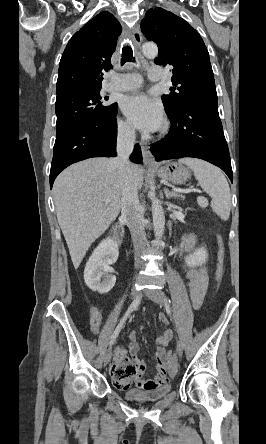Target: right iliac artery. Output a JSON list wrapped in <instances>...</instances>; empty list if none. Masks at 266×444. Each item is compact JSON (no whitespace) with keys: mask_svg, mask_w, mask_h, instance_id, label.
I'll use <instances>...</instances> for the list:
<instances>
[{"mask_svg":"<svg viewBox=\"0 0 266 444\" xmlns=\"http://www.w3.org/2000/svg\"><path fill=\"white\" fill-rule=\"evenodd\" d=\"M142 296H139L138 298H136L130 305V307L128 308V310L126 311V313L124 314V316L122 317L120 323L117 325L116 329L114 330L112 336H111V340H110V346L115 342L116 338L119 335L120 330L122 329V327L124 326L125 321L127 320V318L129 317V315L137 309V307L140 304Z\"/></svg>","mask_w":266,"mask_h":444,"instance_id":"right-iliac-artery-1","label":"right iliac artery"}]
</instances>
